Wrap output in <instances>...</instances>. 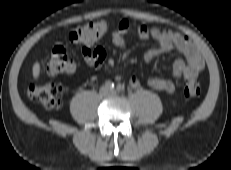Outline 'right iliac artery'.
Instances as JSON below:
<instances>
[{
    "label": "right iliac artery",
    "mask_w": 231,
    "mask_h": 170,
    "mask_svg": "<svg viewBox=\"0 0 231 170\" xmlns=\"http://www.w3.org/2000/svg\"><path fill=\"white\" fill-rule=\"evenodd\" d=\"M105 86H106V88H108L110 90H112V89L115 88V84L112 81H110V80H108V81L105 82Z\"/></svg>",
    "instance_id": "obj_1"
}]
</instances>
